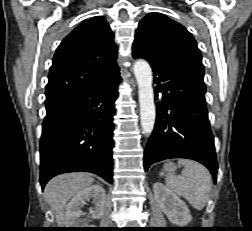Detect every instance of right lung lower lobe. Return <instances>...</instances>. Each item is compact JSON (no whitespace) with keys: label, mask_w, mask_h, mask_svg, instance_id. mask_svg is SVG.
Segmentation results:
<instances>
[{"label":"right lung lower lobe","mask_w":252,"mask_h":231,"mask_svg":"<svg viewBox=\"0 0 252 231\" xmlns=\"http://www.w3.org/2000/svg\"><path fill=\"white\" fill-rule=\"evenodd\" d=\"M120 76L47 109L40 142L42 189L54 176L92 172L112 182L113 116Z\"/></svg>","instance_id":"98d812e1"}]
</instances>
